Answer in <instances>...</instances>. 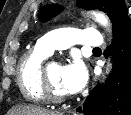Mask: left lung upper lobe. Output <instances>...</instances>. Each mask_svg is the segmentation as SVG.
I'll use <instances>...</instances> for the list:
<instances>
[{"label": "left lung upper lobe", "instance_id": "5c2ea615", "mask_svg": "<svg viewBox=\"0 0 131 115\" xmlns=\"http://www.w3.org/2000/svg\"><path fill=\"white\" fill-rule=\"evenodd\" d=\"M79 5L86 10L99 9L109 16L112 21L113 31L119 24L128 18V12L124 0H79ZM60 7L45 5L39 9V19L47 21L59 13Z\"/></svg>", "mask_w": 131, "mask_h": 115}]
</instances>
